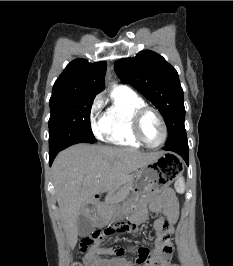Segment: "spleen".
Listing matches in <instances>:
<instances>
[{
    "label": "spleen",
    "instance_id": "spleen-1",
    "mask_svg": "<svg viewBox=\"0 0 233 266\" xmlns=\"http://www.w3.org/2000/svg\"><path fill=\"white\" fill-rule=\"evenodd\" d=\"M175 189L178 193H183L185 191L184 178L179 177L175 183Z\"/></svg>",
    "mask_w": 233,
    "mask_h": 266
}]
</instances>
